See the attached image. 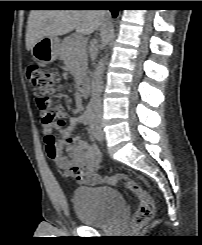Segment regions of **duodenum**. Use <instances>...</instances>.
I'll return each mask as SVG.
<instances>
[{
    "instance_id": "duodenum-1",
    "label": "duodenum",
    "mask_w": 202,
    "mask_h": 245,
    "mask_svg": "<svg viewBox=\"0 0 202 245\" xmlns=\"http://www.w3.org/2000/svg\"><path fill=\"white\" fill-rule=\"evenodd\" d=\"M78 91L82 96H86L89 92V80L82 78L77 82Z\"/></svg>"
}]
</instances>
